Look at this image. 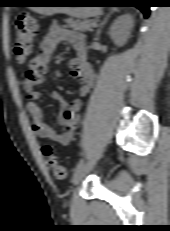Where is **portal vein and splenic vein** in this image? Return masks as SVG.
Masks as SVG:
<instances>
[{"label": "portal vein and splenic vein", "mask_w": 170, "mask_h": 231, "mask_svg": "<svg viewBox=\"0 0 170 231\" xmlns=\"http://www.w3.org/2000/svg\"><path fill=\"white\" fill-rule=\"evenodd\" d=\"M93 26H96V22L93 23Z\"/></svg>", "instance_id": "portal-vein-and-splenic-vein-1"}]
</instances>
